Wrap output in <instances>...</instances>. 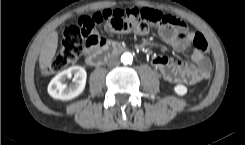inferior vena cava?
Here are the masks:
<instances>
[{
  "label": "inferior vena cava",
  "instance_id": "inferior-vena-cava-1",
  "mask_svg": "<svg viewBox=\"0 0 245 145\" xmlns=\"http://www.w3.org/2000/svg\"><path fill=\"white\" fill-rule=\"evenodd\" d=\"M120 64L119 58L118 57H112L108 60V66L109 67H115Z\"/></svg>",
  "mask_w": 245,
  "mask_h": 145
}]
</instances>
